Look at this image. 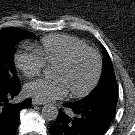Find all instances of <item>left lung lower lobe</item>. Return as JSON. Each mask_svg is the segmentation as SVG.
Instances as JSON below:
<instances>
[{"instance_id":"obj_1","label":"left lung lower lobe","mask_w":135,"mask_h":135,"mask_svg":"<svg viewBox=\"0 0 135 135\" xmlns=\"http://www.w3.org/2000/svg\"><path fill=\"white\" fill-rule=\"evenodd\" d=\"M117 100L65 103L50 125V135H104L115 115Z\"/></svg>"}]
</instances>
